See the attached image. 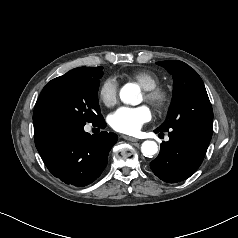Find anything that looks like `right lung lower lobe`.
Masks as SVG:
<instances>
[{"label": "right lung lower lobe", "mask_w": 238, "mask_h": 238, "mask_svg": "<svg viewBox=\"0 0 238 238\" xmlns=\"http://www.w3.org/2000/svg\"><path fill=\"white\" fill-rule=\"evenodd\" d=\"M105 127L104 119L95 123ZM35 145L48 170L61 181L78 187L95 181L107 165L117 135H90L78 122L57 121L35 125Z\"/></svg>", "instance_id": "right-lung-lower-lobe-1"}]
</instances>
